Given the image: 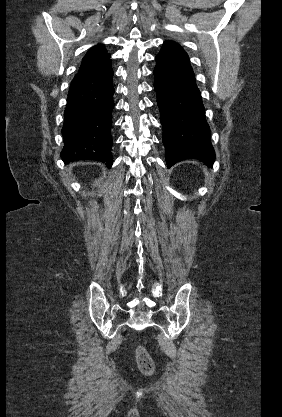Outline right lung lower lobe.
Wrapping results in <instances>:
<instances>
[{
  "mask_svg": "<svg viewBox=\"0 0 282 417\" xmlns=\"http://www.w3.org/2000/svg\"><path fill=\"white\" fill-rule=\"evenodd\" d=\"M111 60L79 70L69 89L64 112L61 158L113 163L111 154V112L114 108Z\"/></svg>",
  "mask_w": 282,
  "mask_h": 417,
  "instance_id": "98d812e1",
  "label": "right lung lower lobe"
}]
</instances>
